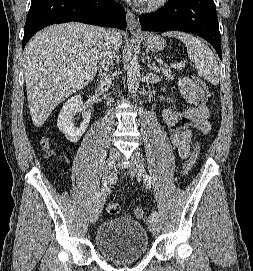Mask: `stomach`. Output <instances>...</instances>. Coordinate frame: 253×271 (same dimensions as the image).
Listing matches in <instances>:
<instances>
[{
  "mask_svg": "<svg viewBox=\"0 0 253 271\" xmlns=\"http://www.w3.org/2000/svg\"><path fill=\"white\" fill-rule=\"evenodd\" d=\"M145 47L150 51H161L166 46L165 40L153 34H146L142 37Z\"/></svg>",
  "mask_w": 253,
  "mask_h": 271,
  "instance_id": "obj_1",
  "label": "stomach"
}]
</instances>
